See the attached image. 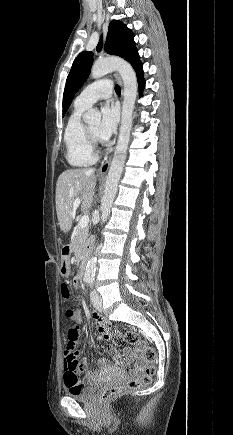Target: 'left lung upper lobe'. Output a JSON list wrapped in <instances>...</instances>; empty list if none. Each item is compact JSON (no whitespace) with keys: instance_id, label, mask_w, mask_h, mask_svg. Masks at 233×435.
<instances>
[{"instance_id":"left-lung-upper-lobe-1","label":"left lung upper lobe","mask_w":233,"mask_h":435,"mask_svg":"<svg viewBox=\"0 0 233 435\" xmlns=\"http://www.w3.org/2000/svg\"><path fill=\"white\" fill-rule=\"evenodd\" d=\"M132 31L120 21H112L109 24L105 42V50L108 54L117 55L127 60L134 69L140 67V57L134 42ZM102 36L96 47L99 52L102 49ZM93 63L92 52H81L72 64V68L66 80L63 94V115L69 108L75 93L88 78Z\"/></svg>"}]
</instances>
